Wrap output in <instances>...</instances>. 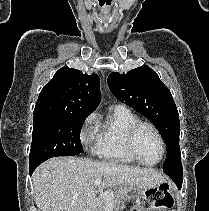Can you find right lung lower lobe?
Masks as SVG:
<instances>
[{"mask_svg": "<svg viewBox=\"0 0 209 211\" xmlns=\"http://www.w3.org/2000/svg\"><path fill=\"white\" fill-rule=\"evenodd\" d=\"M37 166H30V174H32V172L34 171V169L36 168Z\"/></svg>", "mask_w": 209, "mask_h": 211, "instance_id": "1", "label": "right lung lower lobe"}]
</instances>
